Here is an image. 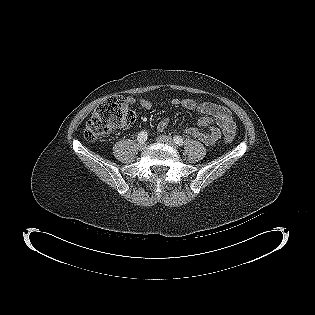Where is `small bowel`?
Masks as SVG:
<instances>
[{"mask_svg": "<svg viewBox=\"0 0 315 315\" xmlns=\"http://www.w3.org/2000/svg\"><path fill=\"white\" fill-rule=\"evenodd\" d=\"M128 104H133L135 99L129 97ZM172 106H181L188 110H194L201 114L198 120V127H187L184 132L194 138L201 140L207 145L214 144L223 134L234 136L236 124L232 113L227 108L218 104L203 101L194 98H173L169 101ZM140 106L145 110L152 108V102L148 98L139 100ZM169 124V119H163L158 124L159 130H164ZM201 128H207V131H202Z\"/></svg>", "mask_w": 315, "mask_h": 315, "instance_id": "1", "label": "small bowel"}]
</instances>
